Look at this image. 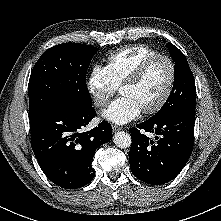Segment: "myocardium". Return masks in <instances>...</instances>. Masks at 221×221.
Segmentation results:
<instances>
[{"label": "myocardium", "mask_w": 221, "mask_h": 221, "mask_svg": "<svg viewBox=\"0 0 221 221\" xmlns=\"http://www.w3.org/2000/svg\"><path fill=\"white\" fill-rule=\"evenodd\" d=\"M156 60H164L167 62L170 69V77L167 88L161 99L154 106L142 110L143 113L148 115L159 112L167 104L173 93L174 84L176 81V66L174 61L169 56L158 53L156 55L146 58L134 69L130 76L126 78L119 87V90H121L125 86L134 85L143 77L148 67Z\"/></svg>", "instance_id": "f54148a6"}]
</instances>
